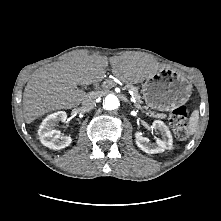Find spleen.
I'll return each mask as SVG.
<instances>
[{"instance_id": "3e777b00", "label": "spleen", "mask_w": 221, "mask_h": 221, "mask_svg": "<svg viewBox=\"0 0 221 221\" xmlns=\"http://www.w3.org/2000/svg\"><path fill=\"white\" fill-rule=\"evenodd\" d=\"M198 119H199V111L194 110L191 114V117L189 119V134L193 135L197 131V125H198Z\"/></svg>"}]
</instances>
